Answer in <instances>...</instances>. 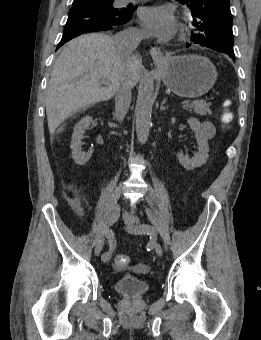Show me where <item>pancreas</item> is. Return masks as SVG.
Here are the masks:
<instances>
[{"mask_svg": "<svg viewBox=\"0 0 261 340\" xmlns=\"http://www.w3.org/2000/svg\"><path fill=\"white\" fill-rule=\"evenodd\" d=\"M210 105L211 103H207L204 100H196L192 103L187 104L185 109L189 111L193 110L196 114L200 116H206L208 114H212V111L210 110Z\"/></svg>", "mask_w": 261, "mask_h": 340, "instance_id": "1", "label": "pancreas"}]
</instances>
